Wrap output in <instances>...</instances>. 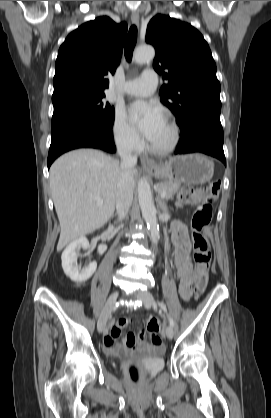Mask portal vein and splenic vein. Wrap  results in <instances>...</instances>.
<instances>
[{"instance_id":"1","label":"portal vein and splenic vein","mask_w":271,"mask_h":418,"mask_svg":"<svg viewBox=\"0 0 271 418\" xmlns=\"http://www.w3.org/2000/svg\"><path fill=\"white\" fill-rule=\"evenodd\" d=\"M160 197L162 199H164L166 197V193L165 192L161 193L160 194ZM94 199L96 200V204L97 205H102L104 203V200L101 197H99V196L94 197Z\"/></svg>"}]
</instances>
